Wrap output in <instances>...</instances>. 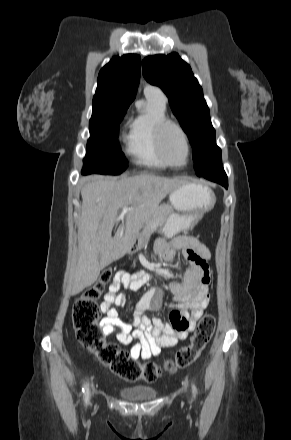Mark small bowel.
I'll return each mask as SVG.
<instances>
[{
	"instance_id": "obj_1",
	"label": "small bowel",
	"mask_w": 291,
	"mask_h": 440,
	"mask_svg": "<svg viewBox=\"0 0 291 440\" xmlns=\"http://www.w3.org/2000/svg\"><path fill=\"white\" fill-rule=\"evenodd\" d=\"M178 251L187 260L184 279L181 283L170 282L168 287L178 301L186 302V308L169 312V319H177L169 325L160 318H150L144 314L150 298L145 296L138 303L130 323L123 321L117 309L126 303L124 294L119 293L121 284L136 290L144 279L142 273L129 276L125 272L116 274L109 285L101 304L106 316L100 321L103 334L114 335L123 345H132L130 356L134 360H148L160 354L163 347L176 346L196 329L198 320L209 302L206 285L209 282L211 259L210 250L192 235L175 236L166 241L159 239L155 244V255L172 261Z\"/></svg>"
}]
</instances>
